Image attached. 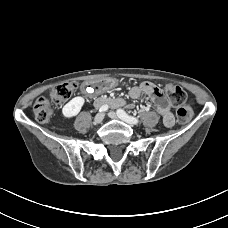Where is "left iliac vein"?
Instances as JSON below:
<instances>
[{"instance_id": "obj_1", "label": "left iliac vein", "mask_w": 228, "mask_h": 228, "mask_svg": "<svg viewBox=\"0 0 228 228\" xmlns=\"http://www.w3.org/2000/svg\"><path fill=\"white\" fill-rule=\"evenodd\" d=\"M108 116L112 119H118V116L115 112L111 111L108 113Z\"/></svg>"}]
</instances>
